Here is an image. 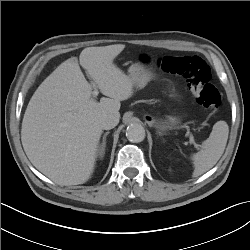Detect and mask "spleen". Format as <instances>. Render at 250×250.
<instances>
[{
    "instance_id": "3e777b00",
    "label": "spleen",
    "mask_w": 250,
    "mask_h": 250,
    "mask_svg": "<svg viewBox=\"0 0 250 250\" xmlns=\"http://www.w3.org/2000/svg\"><path fill=\"white\" fill-rule=\"evenodd\" d=\"M228 134L229 127L225 121H218L213 125L209 138L202 143V149L192 155L193 177L202 175L218 162L224 153Z\"/></svg>"
}]
</instances>
